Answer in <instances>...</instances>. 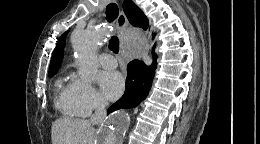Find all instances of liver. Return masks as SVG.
I'll return each mask as SVG.
<instances>
[{"instance_id": "6515ba94", "label": "liver", "mask_w": 260, "mask_h": 144, "mask_svg": "<svg viewBox=\"0 0 260 144\" xmlns=\"http://www.w3.org/2000/svg\"><path fill=\"white\" fill-rule=\"evenodd\" d=\"M94 131L85 119L62 117L52 124V144H93Z\"/></svg>"}]
</instances>
